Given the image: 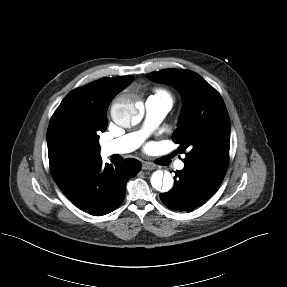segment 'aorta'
Wrapping results in <instances>:
<instances>
[{
    "label": "aorta",
    "mask_w": 287,
    "mask_h": 287,
    "mask_svg": "<svg viewBox=\"0 0 287 287\" xmlns=\"http://www.w3.org/2000/svg\"><path fill=\"white\" fill-rule=\"evenodd\" d=\"M111 117L117 125L123 127L128 126L130 123L137 124L142 117V105L139 98L135 95L120 98L111 107ZM150 183L154 189L168 192L173 187L174 180L169 172L157 170L152 174Z\"/></svg>",
    "instance_id": "aorta-1"
}]
</instances>
